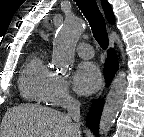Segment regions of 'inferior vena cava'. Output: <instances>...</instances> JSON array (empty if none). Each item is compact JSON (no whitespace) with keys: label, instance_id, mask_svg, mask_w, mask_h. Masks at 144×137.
<instances>
[{"label":"inferior vena cava","instance_id":"obj_1","mask_svg":"<svg viewBox=\"0 0 144 137\" xmlns=\"http://www.w3.org/2000/svg\"><path fill=\"white\" fill-rule=\"evenodd\" d=\"M68 116L75 121V126L80 128V102L75 98L69 100L67 106Z\"/></svg>","mask_w":144,"mask_h":137}]
</instances>
